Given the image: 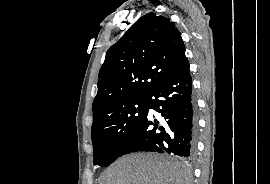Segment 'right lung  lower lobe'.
<instances>
[{"label":"right lung lower lobe","instance_id":"obj_1","mask_svg":"<svg viewBox=\"0 0 270 184\" xmlns=\"http://www.w3.org/2000/svg\"><path fill=\"white\" fill-rule=\"evenodd\" d=\"M191 82L186 58L147 96V109L161 113L163 120H151L147 112L119 157L137 151L172 153L186 158L193 156L196 121Z\"/></svg>","mask_w":270,"mask_h":184}]
</instances>
